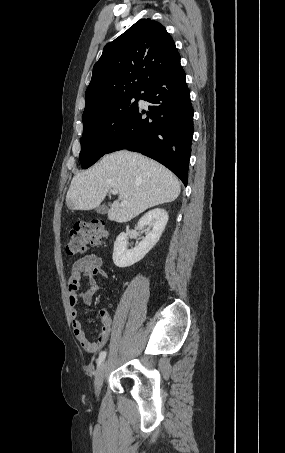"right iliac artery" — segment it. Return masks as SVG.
Returning <instances> with one entry per match:
<instances>
[{"instance_id": "82829eb1", "label": "right iliac artery", "mask_w": 285, "mask_h": 453, "mask_svg": "<svg viewBox=\"0 0 285 453\" xmlns=\"http://www.w3.org/2000/svg\"><path fill=\"white\" fill-rule=\"evenodd\" d=\"M106 356V351H102L99 355V358L97 360V366H100L103 360L105 359Z\"/></svg>"}]
</instances>
